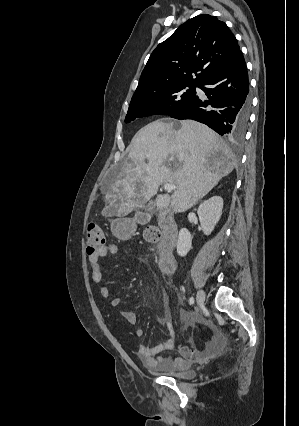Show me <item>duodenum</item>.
<instances>
[{
    "instance_id": "410a0bca",
    "label": "duodenum",
    "mask_w": 299,
    "mask_h": 426,
    "mask_svg": "<svg viewBox=\"0 0 299 426\" xmlns=\"http://www.w3.org/2000/svg\"><path fill=\"white\" fill-rule=\"evenodd\" d=\"M163 238L159 245V266L164 273H172L175 270L176 260L174 249L177 240L178 226L172 213L161 211L158 214ZM146 219L145 216L142 217Z\"/></svg>"
}]
</instances>
